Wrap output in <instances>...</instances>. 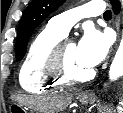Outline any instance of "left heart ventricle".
Listing matches in <instances>:
<instances>
[{
    "mask_svg": "<svg viewBox=\"0 0 123 113\" xmlns=\"http://www.w3.org/2000/svg\"><path fill=\"white\" fill-rule=\"evenodd\" d=\"M65 61L69 71L75 76H83L91 70L79 62L77 46L72 42L65 47Z\"/></svg>",
    "mask_w": 123,
    "mask_h": 113,
    "instance_id": "left-heart-ventricle-1",
    "label": "left heart ventricle"
}]
</instances>
